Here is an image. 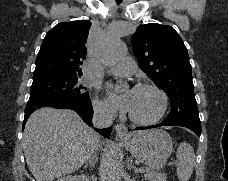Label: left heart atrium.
Here are the masks:
<instances>
[{"label": "left heart atrium", "instance_id": "obj_1", "mask_svg": "<svg viewBox=\"0 0 228 181\" xmlns=\"http://www.w3.org/2000/svg\"><path fill=\"white\" fill-rule=\"evenodd\" d=\"M116 106L121 109L129 110L131 106L130 94L126 92L122 98L116 101Z\"/></svg>", "mask_w": 228, "mask_h": 181}]
</instances>
